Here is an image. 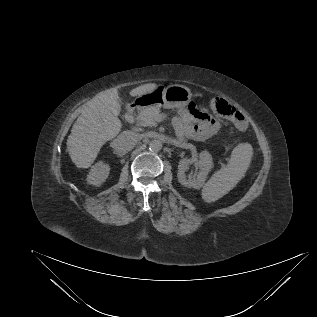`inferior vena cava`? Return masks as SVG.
I'll list each match as a JSON object with an SVG mask.
<instances>
[{
    "instance_id": "602c4592",
    "label": "inferior vena cava",
    "mask_w": 317,
    "mask_h": 317,
    "mask_svg": "<svg viewBox=\"0 0 317 317\" xmlns=\"http://www.w3.org/2000/svg\"><path fill=\"white\" fill-rule=\"evenodd\" d=\"M137 142L138 137L135 133L125 131L112 141L111 147L117 154L123 155L133 149Z\"/></svg>"
}]
</instances>
